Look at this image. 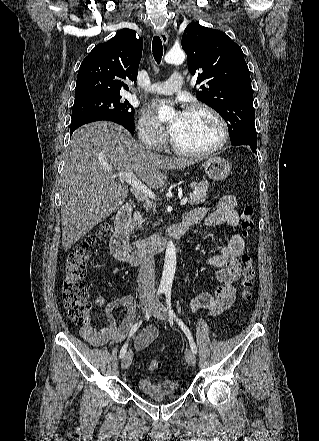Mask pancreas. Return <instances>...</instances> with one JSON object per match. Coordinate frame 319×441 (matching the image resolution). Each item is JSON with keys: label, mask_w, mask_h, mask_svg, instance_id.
<instances>
[{"label": "pancreas", "mask_w": 319, "mask_h": 441, "mask_svg": "<svg viewBox=\"0 0 319 441\" xmlns=\"http://www.w3.org/2000/svg\"><path fill=\"white\" fill-rule=\"evenodd\" d=\"M191 187L195 192L189 193L188 202L191 205H199L207 199V193L209 189V183L207 181H201L199 183H191ZM144 220L139 212H134L133 214V229H138L142 227Z\"/></svg>", "instance_id": "obj_1"}]
</instances>
